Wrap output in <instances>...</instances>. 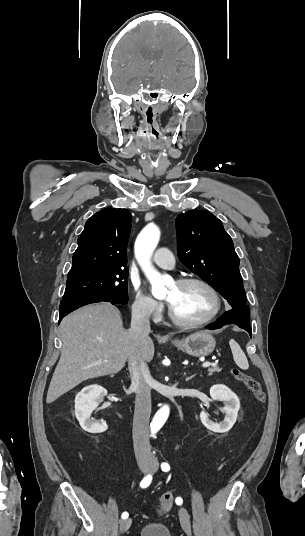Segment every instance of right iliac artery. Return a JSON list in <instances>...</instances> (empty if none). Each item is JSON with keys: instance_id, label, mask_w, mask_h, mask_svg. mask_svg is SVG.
<instances>
[{"instance_id": "82829eb1", "label": "right iliac artery", "mask_w": 305, "mask_h": 536, "mask_svg": "<svg viewBox=\"0 0 305 536\" xmlns=\"http://www.w3.org/2000/svg\"><path fill=\"white\" fill-rule=\"evenodd\" d=\"M151 481H152V476H151L150 474H148V475L145 476V477L143 478V480L141 481V483H140V487H141V488H147V487L150 485ZM128 516H129V514H128L127 512H124V513L121 515V517H122L123 519L128 518Z\"/></svg>"}]
</instances>
